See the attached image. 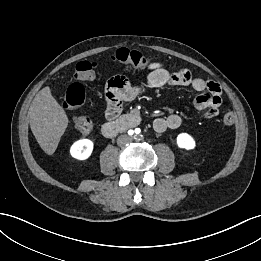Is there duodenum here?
<instances>
[{"mask_svg":"<svg viewBox=\"0 0 261 261\" xmlns=\"http://www.w3.org/2000/svg\"><path fill=\"white\" fill-rule=\"evenodd\" d=\"M140 117L135 114L123 115L115 120L108 121L102 125L101 131L105 137H114L118 133L132 129L139 125Z\"/></svg>","mask_w":261,"mask_h":261,"instance_id":"1","label":"duodenum"}]
</instances>
